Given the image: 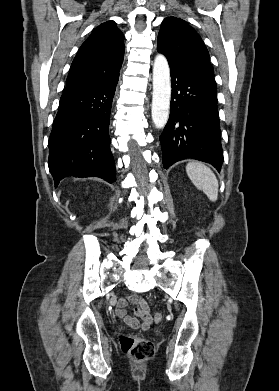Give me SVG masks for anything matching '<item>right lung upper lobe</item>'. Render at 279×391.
Here are the masks:
<instances>
[{"mask_svg": "<svg viewBox=\"0 0 279 391\" xmlns=\"http://www.w3.org/2000/svg\"><path fill=\"white\" fill-rule=\"evenodd\" d=\"M123 40L114 21L99 25L78 50L65 92L88 88L118 75L125 51Z\"/></svg>", "mask_w": 279, "mask_h": 391, "instance_id": "1", "label": "right lung upper lobe"}]
</instances>
